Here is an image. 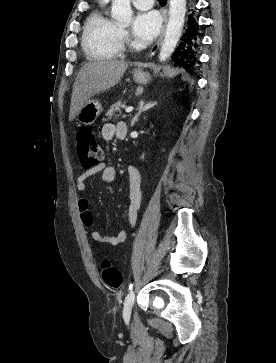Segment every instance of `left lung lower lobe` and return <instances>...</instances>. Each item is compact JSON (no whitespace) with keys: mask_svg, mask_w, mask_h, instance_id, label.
Instances as JSON below:
<instances>
[{"mask_svg":"<svg viewBox=\"0 0 276 363\" xmlns=\"http://www.w3.org/2000/svg\"><path fill=\"white\" fill-rule=\"evenodd\" d=\"M193 11V10H189ZM193 14L188 16V25L185 29L181 42L172 55V61L176 66L193 74L196 62V49L198 47V24L195 23Z\"/></svg>","mask_w":276,"mask_h":363,"instance_id":"obj_1","label":"left lung lower lobe"}]
</instances>
